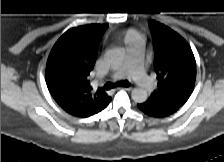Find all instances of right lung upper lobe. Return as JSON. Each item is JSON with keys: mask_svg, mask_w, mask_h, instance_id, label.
Segmentation results:
<instances>
[{"mask_svg": "<svg viewBox=\"0 0 224 162\" xmlns=\"http://www.w3.org/2000/svg\"><path fill=\"white\" fill-rule=\"evenodd\" d=\"M107 25H85L65 32L53 46L46 65L47 87L55 101L73 116L86 118L107 107L105 91H93L88 76Z\"/></svg>", "mask_w": 224, "mask_h": 162, "instance_id": "right-lung-upper-lobe-1", "label": "right lung upper lobe"}]
</instances>
